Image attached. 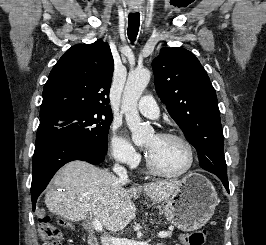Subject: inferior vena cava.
Returning <instances> with one entry per match:
<instances>
[{"mask_svg":"<svg viewBox=\"0 0 266 245\" xmlns=\"http://www.w3.org/2000/svg\"><path fill=\"white\" fill-rule=\"evenodd\" d=\"M113 171L116 173V175H118L120 181H127L128 175L124 167H120V165H114ZM113 243L114 239H112V237H108V235H102L101 245H113Z\"/></svg>","mask_w":266,"mask_h":245,"instance_id":"602c4592","label":"inferior vena cava"}]
</instances>
